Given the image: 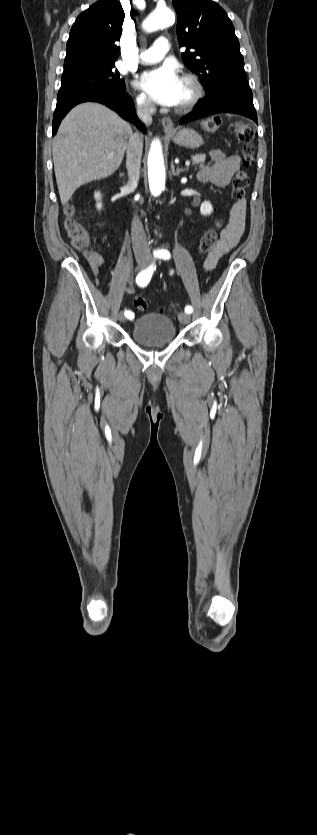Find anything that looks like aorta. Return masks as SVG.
I'll return each mask as SVG.
<instances>
[{
	"mask_svg": "<svg viewBox=\"0 0 317 835\" xmlns=\"http://www.w3.org/2000/svg\"><path fill=\"white\" fill-rule=\"evenodd\" d=\"M175 21V14L169 7L154 9L143 21V28L146 32H154L164 26H169ZM149 188L154 196H158L165 187V165L162 153V146L158 138L151 143L148 160Z\"/></svg>",
	"mask_w": 317,
	"mask_h": 835,
	"instance_id": "1",
	"label": "aorta"
}]
</instances>
